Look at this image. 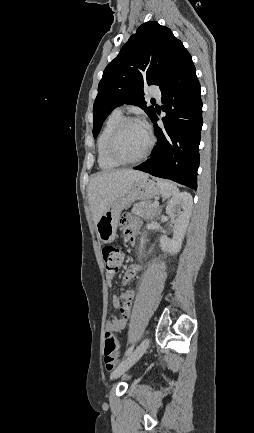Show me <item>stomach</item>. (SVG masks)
Here are the masks:
<instances>
[{"mask_svg": "<svg viewBox=\"0 0 254 433\" xmlns=\"http://www.w3.org/2000/svg\"><path fill=\"white\" fill-rule=\"evenodd\" d=\"M160 192L157 184L148 177L136 180L132 188L122 197L116 199L101 215L96 223V232L102 243H111L116 236L120 213L136 200H149Z\"/></svg>", "mask_w": 254, "mask_h": 433, "instance_id": "stomach-1", "label": "stomach"}]
</instances>
